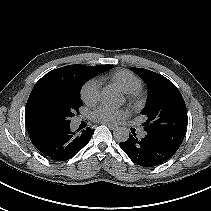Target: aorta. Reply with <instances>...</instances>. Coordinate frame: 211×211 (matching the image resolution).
Segmentation results:
<instances>
[{
	"instance_id": "aorta-1",
	"label": "aorta",
	"mask_w": 211,
	"mask_h": 211,
	"mask_svg": "<svg viewBox=\"0 0 211 211\" xmlns=\"http://www.w3.org/2000/svg\"><path fill=\"white\" fill-rule=\"evenodd\" d=\"M101 102L106 106H121L123 98L115 91L104 89L101 92ZM113 136L118 142H125L129 138V131L125 127L115 129Z\"/></svg>"
}]
</instances>
